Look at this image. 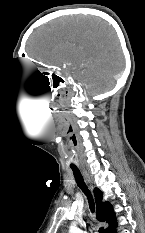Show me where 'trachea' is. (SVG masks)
<instances>
[{
    "label": "trachea",
    "mask_w": 145,
    "mask_h": 233,
    "mask_svg": "<svg viewBox=\"0 0 145 233\" xmlns=\"http://www.w3.org/2000/svg\"><path fill=\"white\" fill-rule=\"evenodd\" d=\"M76 180L77 185L79 186V188L85 193V195L88 198V202H89V206L92 212H94V202H93V198L92 195L90 193V191L88 190L83 177L80 173V170L78 168L72 167L71 168ZM99 233H105L104 228H99Z\"/></svg>",
    "instance_id": "trachea-1"
}]
</instances>
